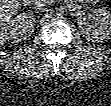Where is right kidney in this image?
Segmentation results:
<instances>
[{
  "instance_id": "obj_1",
  "label": "right kidney",
  "mask_w": 111,
  "mask_h": 106,
  "mask_svg": "<svg viewBox=\"0 0 111 106\" xmlns=\"http://www.w3.org/2000/svg\"><path fill=\"white\" fill-rule=\"evenodd\" d=\"M35 18L29 13L17 15L8 23L6 37L13 42H19L29 37L34 31Z\"/></svg>"
}]
</instances>
